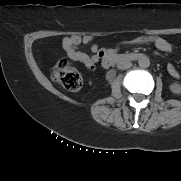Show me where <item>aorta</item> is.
<instances>
[{
    "instance_id": "762f6f07",
    "label": "aorta",
    "mask_w": 181,
    "mask_h": 181,
    "mask_svg": "<svg viewBox=\"0 0 181 181\" xmlns=\"http://www.w3.org/2000/svg\"><path fill=\"white\" fill-rule=\"evenodd\" d=\"M138 64L141 68H147L150 66V60L147 56L143 55L139 58Z\"/></svg>"
}]
</instances>
